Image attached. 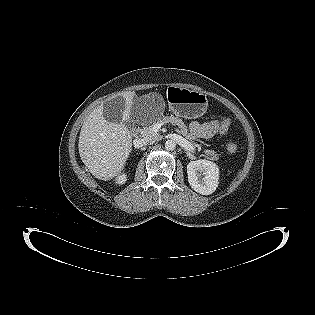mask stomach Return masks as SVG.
Listing matches in <instances>:
<instances>
[{
    "instance_id": "stomach-1",
    "label": "stomach",
    "mask_w": 315,
    "mask_h": 315,
    "mask_svg": "<svg viewBox=\"0 0 315 315\" xmlns=\"http://www.w3.org/2000/svg\"><path fill=\"white\" fill-rule=\"evenodd\" d=\"M169 109L179 117L196 119L207 111L208 99L202 92L171 86L166 92Z\"/></svg>"
}]
</instances>
